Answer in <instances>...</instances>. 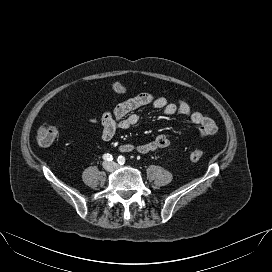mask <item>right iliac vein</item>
<instances>
[{"label":"right iliac vein","instance_id":"obj_1","mask_svg":"<svg viewBox=\"0 0 272 272\" xmlns=\"http://www.w3.org/2000/svg\"><path fill=\"white\" fill-rule=\"evenodd\" d=\"M103 167H104V169L107 170V171H111V170L113 169V165H112V163H110V162H104V163H103Z\"/></svg>","mask_w":272,"mask_h":272}]
</instances>
